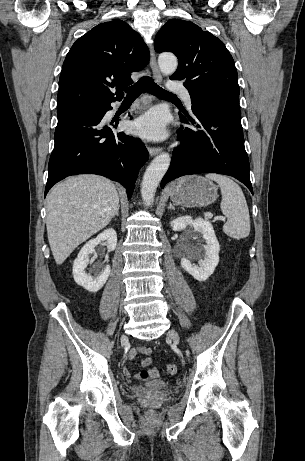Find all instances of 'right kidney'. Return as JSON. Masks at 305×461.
<instances>
[{"label": "right kidney", "instance_id": "ca27d5eb", "mask_svg": "<svg viewBox=\"0 0 305 461\" xmlns=\"http://www.w3.org/2000/svg\"><path fill=\"white\" fill-rule=\"evenodd\" d=\"M102 241H106L108 250H115L117 244L116 231L113 228H109L100 233L96 238L89 240L82 247L73 263V277L75 282L89 292L99 291L106 283L111 272L109 265L104 266L102 270H98L95 277L85 272L89 264V254Z\"/></svg>", "mask_w": 305, "mask_h": 461}]
</instances>
